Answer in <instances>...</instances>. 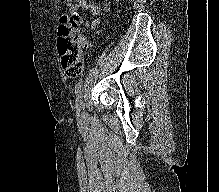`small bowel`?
I'll use <instances>...</instances> for the list:
<instances>
[{"label":"small bowel","instance_id":"1","mask_svg":"<svg viewBox=\"0 0 219 192\" xmlns=\"http://www.w3.org/2000/svg\"><path fill=\"white\" fill-rule=\"evenodd\" d=\"M67 1L70 7L89 11L90 15L94 18L91 25V31H94L99 26L100 24L99 16L102 14V12L107 11L109 9V5L106 4L102 8L93 0H75L74 3H71V0H67ZM83 47L85 49H88L90 47V43L88 41H83Z\"/></svg>","mask_w":219,"mask_h":192}]
</instances>
